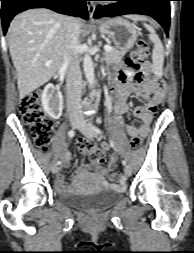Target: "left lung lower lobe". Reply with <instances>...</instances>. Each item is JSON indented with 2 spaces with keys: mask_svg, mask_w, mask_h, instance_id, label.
Masks as SVG:
<instances>
[{
  "mask_svg": "<svg viewBox=\"0 0 194 253\" xmlns=\"http://www.w3.org/2000/svg\"><path fill=\"white\" fill-rule=\"evenodd\" d=\"M118 1L108 6H97L94 18L114 17L124 14H142L153 17L169 34L171 0H110Z\"/></svg>",
  "mask_w": 194,
  "mask_h": 253,
  "instance_id": "obj_1",
  "label": "left lung lower lobe"
}]
</instances>
